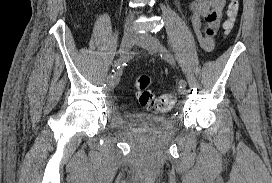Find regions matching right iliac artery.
Returning <instances> with one entry per match:
<instances>
[{"label": "right iliac artery", "instance_id": "1", "mask_svg": "<svg viewBox=\"0 0 272 183\" xmlns=\"http://www.w3.org/2000/svg\"><path fill=\"white\" fill-rule=\"evenodd\" d=\"M125 59L124 58H120L118 60H116L113 64L114 68H108V73L109 77L114 81L116 78H118L120 76L119 70H115L117 68H120L121 65H124L125 63Z\"/></svg>", "mask_w": 272, "mask_h": 183}]
</instances>
